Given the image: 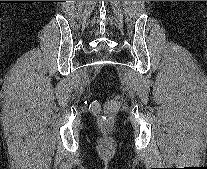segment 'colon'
Listing matches in <instances>:
<instances>
[{
    "mask_svg": "<svg viewBox=\"0 0 207 169\" xmlns=\"http://www.w3.org/2000/svg\"><path fill=\"white\" fill-rule=\"evenodd\" d=\"M119 108V103L116 100H112L109 101L106 105H105V110L108 113H113L115 112L117 109Z\"/></svg>",
    "mask_w": 207,
    "mask_h": 169,
    "instance_id": "obj_1",
    "label": "colon"
}]
</instances>
